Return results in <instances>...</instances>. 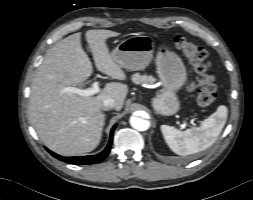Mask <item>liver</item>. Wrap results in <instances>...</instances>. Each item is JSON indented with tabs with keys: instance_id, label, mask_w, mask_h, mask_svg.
<instances>
[{
	"instance_id": "1",
	"label": "liver",
	"mask_w": 253,
	"mask_h": 200,
	"mask_svg": "<svg viewBox=\"0 0 253 200\" xmlns=\"http://www.w3.org/2000/svg\"><path fill=\"white\" fill-rule=\"evenodd\" d=\"M86 40L96 68L112 79L125 80L106 44L117 36L110 30H88ZM93 72L92 63L81 45V33L72 34L45 55L31 84L29 119L41 141L50 150L63 155H82L94 150L102 136L103 101L115 100V110L122 109L128 86L111 82L97 94L80 96L65 92L66 87L83 86Z\"/></svg>"
}]
</instances>
